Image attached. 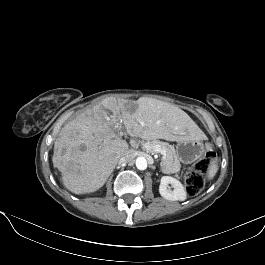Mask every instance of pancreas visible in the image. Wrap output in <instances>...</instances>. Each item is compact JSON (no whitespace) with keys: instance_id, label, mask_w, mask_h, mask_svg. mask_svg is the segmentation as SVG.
<instances>
[{"instance_id":"pancreas-1","label":"pancreas","mask_w":265,"mask_h":265,"mask_svg":"<svg viewBox=\"0 0 265 265\" xmlns=\"http://www.w3.org/2000/svg\"><path fill=\"white\" fill-rule=\"evenodd\" d=\"M146 144H148L151 148L155 145H159L162 149L166 151V159L161 164V170L165 174H176L177 176V173L180 171L181 164L177 157L174 146L170 145L167 142H162L159 140H153L150 142H146L144 143V146Z\"/></svg>"}]
</instances>
